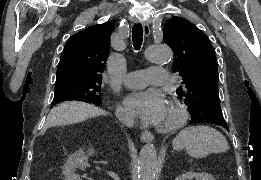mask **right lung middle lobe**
Listing matches in <instances>:
<instances>
[{"instance_id":"obj_1","label":"right lung middle lobe","mask_w":261,"mask_h":180,"mask_svg":"<svg viewBox=\"0 0 261 180\" xmlns=\"http://www.w3.org/2000/svg\"><path fill=\"white\" fill-rule=\"evenodd\" d=\"M101 82L67 81L55 84V95L52 105L67 100H77L96 105L101 104Z\"/></svg>"}]
</instances>
